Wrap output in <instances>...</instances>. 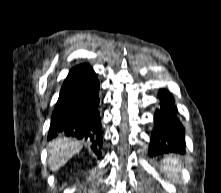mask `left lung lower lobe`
I'll list each match as a JSON object with an SVG mask.
<instances>
[{
	"mask_svg": "<svg viewBox=\"0 0 221 193\" xmlns=\"http://www.w3.org/2000/svg\"><path fill=\"white\" fill-rule=\"evenodd\" d=\"M160 109L154 115V128L151 135L149 148L150 155L161 153L185 152V129L177 117V107L174 98L168 90L163 89L158 93ZM166 145V148L163 146Z\"/></svg>",
	"mask_w": 221,
	"mask_h": 193,
	"instance_id": "obj_1",
	"label": "left lung lower lobe"
}]
</instances>
